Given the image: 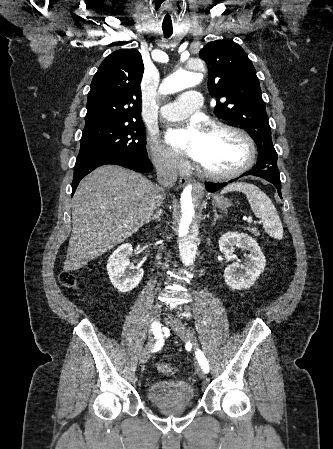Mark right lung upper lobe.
<instances>
[{"mask_svg":"<svg viewBox=\"0 0 333 449\" xmlns=\"http://www.w3.org/2000/svg\"><path fill=\"white\" fill-rule=\"evenodd\" d=\"M144 71L136 49L107 56L94 75L88 93L85 127L141 120L140 82Z\"/></svg>","mask_w":333,"mask_h":449,"instance_id":"right-lung-upper-lobe-1","label":"right lung upper lobe"}]
</instances>
